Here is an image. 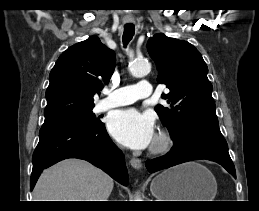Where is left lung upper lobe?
I'll use <instances>...</instances> for the list:
<instances>
[{"label":"left lung upper lobe","instance_id":"obj_1","mask_svg":"<svg viewBox=\"0 0 259 211\" xmlns=\"http://www.w3.org/2000/svg\"><path fill=\"white\" fill-rule=\"evenodd\" d=\"M147 50L158 69L157 82L170 92L162 95L170 107H155L174 142L193 131L221 133L212 98L208 68L200 52L190 43L156 34Z\"/></svg>","mask_w":259,"mask_h":211}]
</instances>
